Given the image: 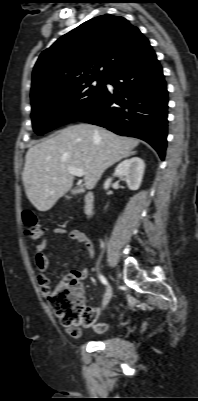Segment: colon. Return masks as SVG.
Listing matches in <instances>:
<instances>
[{
  "instance_id": "1",
  "label": "colon",
  "mask_w": 198,
  "mask_h": 401,
  "mask_svg": "<svg viewBox=\"0 0 198 401\" xmlns=\"http://www.w3.org/2000/svg\"><path fill=\"white\" fill-rule=\"evenodd\" d=\"M22 220L27 237L31 240H39L43 235V229L39 225L36 213L25 211ZM48 300L54 314L64 326L70 328L71 334L77 335V329L80 326L94 325L96 315L92 308L85 305L74 274L68 275L53 291H49Z\"/></svg>"
}]
</instances>
